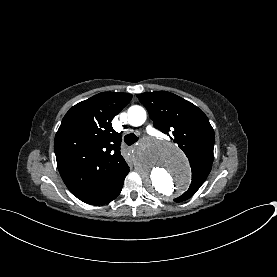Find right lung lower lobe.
Instances as JSON below:
<instances>
[{
	"label": "right lung lower lobe",
	"instance_id": "98d812e1",
	"mask_svg": "<svg viewBox=\"0 0 277 277\" xmlns=\"http://www.w3.org/2000/svg\"><path fill=\"white\" fill-rule=\"evenodd\" d=\"M128 172L129 167L127 165L120 174L119 178L112 185H110L107 189H105L103 192L96 195L95 197L83 202L91 205H102L112 201L120 194L123 187L124 179Z\"/></svg>",
	"mask_w": 277,
	"mask_h": 277
}]
</instances>
